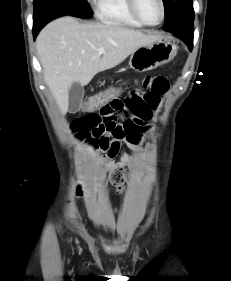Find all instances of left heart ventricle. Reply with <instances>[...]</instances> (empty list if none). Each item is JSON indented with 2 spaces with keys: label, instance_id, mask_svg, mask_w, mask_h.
Here are the masks:
<instances>
[{
  "label": "left heart ventricle",
  "instance_id": "1",
  "mask_svg": "<svg viewBox=\"0 0 231 281\" xmlns=\"http://www.w3.org/2000/svg\"><path fill=\"white\" fill-rule=\"evenodd\" d=\"M138 8L142 17L151 24L161 19V5L159 0H138Z\"/></svg>",
  "mask_w": 231,
  "mask_h": 281
}]
</instances>
